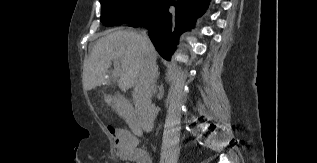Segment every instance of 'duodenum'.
<instances>
[{
	"label": "duodenum",
	"mask_w": 317,
	"mask_h": 163,
	"mask_svg": "<svg viewBox=\"0 0 317 163\" xmlns=\"http://www.w3.org/2000/svg\"><path fill=\"white\" fill-rule=\"evenodd\" d=\"M115 104L121 117L129 125L134 137L141 135L143 132L142 125L140 123L137 113L135 112L131 104L122 96L115 97ZM132 141L135 149L142 153L143 151L136 146V141L134 138H132Z\"/></svg>",
	"instance_id": "duodenum-1"
}]
</instances>
